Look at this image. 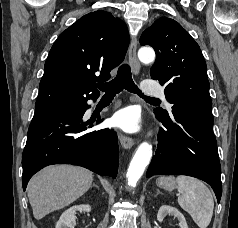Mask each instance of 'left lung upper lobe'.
<instances>
[{"label":"left lung upper lobe","mask_w":238,"mask_h":228,"mask_svg":"<svg viewBox=\"0 0 238 228\" xmlns=\"http://www.w3.org/2000/svg\"><path fill=\"white\" fill-rule=\"evenodd\" d=\"M140 44L154 48L156 62L150 75L167 85L165 96L173 104L172 112L157 108L155 113L167 117L183 112L213 120L206 63L189 33L175 20L163 17L142 33Z\"/></svg>","instance_id":"1"}]
</instances>
